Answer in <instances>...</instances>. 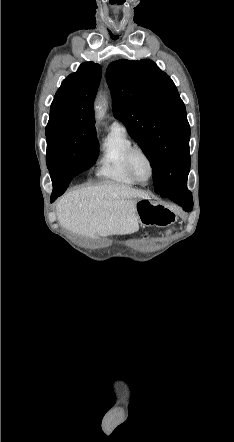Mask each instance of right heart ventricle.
<instances>
[{
  "label": "right heart ventricle",
  "mask_w": 234,
  "mask_h": 442,
  "mask_svg": "<svg viewBox=\"0 0 234 442\" xmlns=\"http://www.w3.org/2000/svg\"><path fill=\"white\" fill-rule=\"evenodd\" d=\"M133 146L134 143L125 129L112 127L101 146L96 175L111 183L135 185L136 182L129 175L125 165L126 154Z\"/></svg>",
  "instance_id": "1"
}]
</instances>
